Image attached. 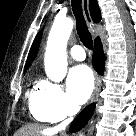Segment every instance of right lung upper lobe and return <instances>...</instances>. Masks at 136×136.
<instances>
[{
    "instance_id": "1",
    "label": "right lung upper lobe",
    "mask_w": 136,
    "mask_h": 136,
    "mask_svg": "<svg viewBox=\"0 0 136 136\" xmlns=\"http://www.w3.org/2000/svg\"><path fill=\"white\" fill-rule=\"evenodd\" d=\"M89 8H90L92 20L95 23H98L101 20V11H100V8L98 6L97 0H90ZM41 35H42V31L36 36V38H35V40L32 44V47L30 49V52H29V55H28V58H27V62H26V65H25V70L28 69V67L33 62V60L35 59V57L37 55Z\"/></svg>"
}]
</instances>
